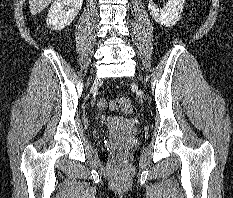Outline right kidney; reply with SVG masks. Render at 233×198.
I'll return each instance as SVG.
<instances>
[{"mask_svg":"<svg viewBox=\"0 0 233 198\" xmlns=\"http://www.w3.org/2000/svg\"><path fill=\"white\" fill-rule=\"evenodd\" d=\"M83 0H56L51 5L46 24L53 30L63 29L78 15Z\"/></svg>","mask_w":233,"mask_h":198,"instance_id":"1","label":"right kidney"}]
</instances>
